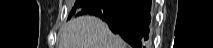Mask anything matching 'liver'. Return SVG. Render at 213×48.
<instances>
[{
    "mask_svg": "<svg viewBox=\"0 0 213 48\" xmlns=\"http://www.w3.org/2000/svg\"><path fill=\"white\" fill-rule=\"evenodd\" d=\"M59 48H127L108 25L94 16L71 19L62 29Z\"/></svg>",
    "mask_w": 213,
    "mask_h": 48,
    "instance_id": "liver-1",
    "label": "liver"
}]
</instances>
